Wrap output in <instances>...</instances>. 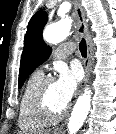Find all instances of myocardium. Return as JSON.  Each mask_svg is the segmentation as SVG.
<instances>
[{
	"label": "myocardium",
	"instance_id": "1",
	"mask_svg": "<svg viewBox=\"0 0 116 134\" xmlns=\"http://www.w3.org/2000/svg\"><path fill=\"white\" fill-rule=\"evenodd\" d=\"M54 82L51 76L44 77L31 96V106L33 111L39 116L49 121H55L67 115L69 107L65 106L62 110H55L49 103L48 92L50 85Z\"/></svg>",
	"mask_w": 116,
	"mask_h": 134
}]
</instances>
